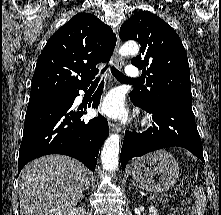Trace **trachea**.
I'll list each match as a JSON object with an SVG mask.
<instances>
[{"label":"trachea","mask_w":221,"mask_h":215,"mask_svg":"<svg viewBox=\"0 0 221 215\" xmlns=\"http://www.w3.org/2000/svg\"><path fill=\"white\" fill-rule=\"evenodd\" d=\"M107 66L102 70L104 72L106 70ZM111 72L114 75V77L121 81H130V82H136L137 80L128 78L125 76L122 72L118 71L114 66L111 67ZM100 78H96L94 83H98Z\"/></svg>","instance_id":"obj_1"}]
</instances>
